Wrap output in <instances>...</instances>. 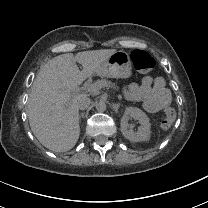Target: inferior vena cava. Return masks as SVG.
<instances>
[{
  "instance_id": "inferior-vena-cava-1",
  "label": "inferior vena cava",
  "mask_w": 208,
  "mask_h": 208,
  "mask_svg": "<svg viewBox=\"0 0 208 208\" xmlns=\"http://www.w3.org/2000/svg\"><path fill=\"white\" fill-rule=\"evenodd\" d=\"M90 98L83 95L78 98V108L80 110H86L90 106Z\"/></svg>"
}]
</instances>
